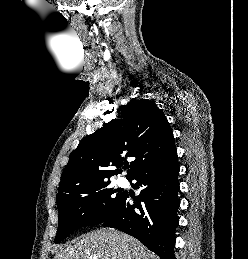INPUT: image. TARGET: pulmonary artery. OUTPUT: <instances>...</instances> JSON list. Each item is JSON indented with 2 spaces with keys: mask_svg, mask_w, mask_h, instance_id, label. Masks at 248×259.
<instances>
[{
  "mask_svg": "<svg viewBox=\"0 0 248 259\" xmlns=\"http://www.w3.org/2000/svg\"><path fill=\"white\" fill-rule=\"evenodd\" d=\"M118 183H119V185H124V184H126V180L124 178H120L118 180Z\"/></svg>",
  "mask_w": 248,
  "mask_h": 259,
  "instance_id": "e3ab8cb5",
  "label": "pulmonary artery"
}]
</instances>
